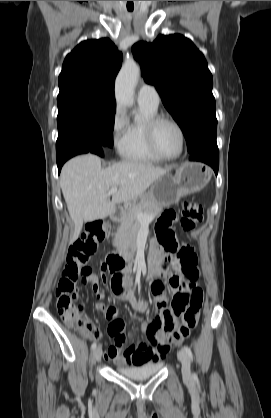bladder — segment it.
Returning <instances> with one entry per match:
<instances>
[{"label":"bladder","instance_id":"obj_1","mask_svg":"<svg viewBox=\"0 0 271 418\" xmlns=\"http://www.w3.org/2000/svg\"><path fill=\"white\" fill-rule=\"evenodd\" d=\"M163 366L162 362L145 363L139 366H118L117 371L132 380H145L157 374Z\"/></svg>","mask_w":271,"mask_h":418}]
</instances>
